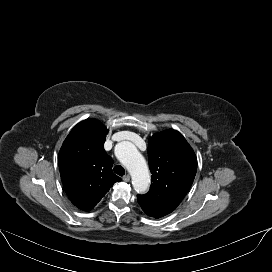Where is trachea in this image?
<instances>
[{
  "label": "trachea",
  "instance_id": "obj_1",
  "mask_svg": "<svg viewBox=\"0 0 272 272\" xmlns=\"http://www.w3.org/2000/svg\"><path fill=\"white\" fill-rule=\"evenodd\" d=\"M113 171L118 174L119 176H123L125 174V170L122 166L120 165H116L114 168H113Z\"/></svg>",
  "mask_w": 272,
  "mask_h": 272
}]
</instances>
